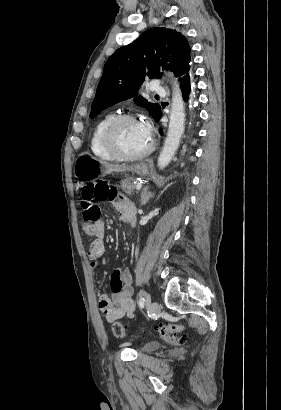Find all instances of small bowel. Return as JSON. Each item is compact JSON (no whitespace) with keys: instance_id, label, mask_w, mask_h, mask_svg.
<instances>
[{"instance_id":"c3829d8e","label":"small bowel","mask_w":281,"mask_h":410,"mask_svg":"<svg viewBox=\"0 0 281 410\" xmlns=\"http://www.w3.org/2000/svg\"><path fill=\"white\" fill-rule=\"evenodd\" d=\"M124 224L135 226L136 208L134 203L120 195L112 201ZM106 234L104 221L100 220L96 224L94 239L89 246L88 258L91 267H99V259L105 254L103 238ZM112 295L100 292L98 294L99 308L107 321L112 322L122 318H132L135 314V303L132 295V275L129 269L116 268L110 279Z\"/></svg>"}]
</instances>
